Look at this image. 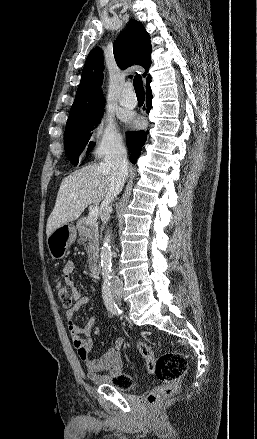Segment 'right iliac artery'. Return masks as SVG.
<instances>
[{"label": "right iliac artery", "mask_w": 257, "mask_h": 439, "mask_svg": "<svg viewBox=\"0 0 257 439\" xmlns=\"http://www.w3.org/2000/svg\"><path fill=\"white\" fill-rule=\"evenodd\" d=\"M102 293H103V299L106 308L108 311H110L112 314L119 315L122 313V311L119 309L115 301L113 300L110 286L109 285H103L102 287Z\"/></svg>", "instance_id": "obj_1"}]
</instances>
